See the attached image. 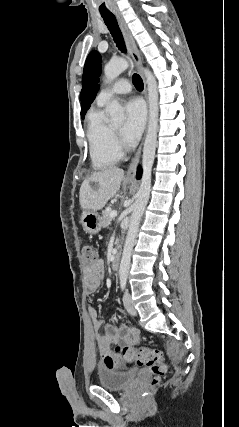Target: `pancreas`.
<instances>
[{"instance_id": "cf45deb5", "label": "pancreas", "mask_w": 239, "mask_h": 427, "mask_svg": "<svg viewBox=\"0 0 239 427\" xmlns=\"http://www.w3.org/2000/svg\"><path fill=\"white\" fill-rule=\"evenodd\" d=\"M110 211L109 210H105L103 212V216H102V224L104 227H107L110 225L112 218L110 217Z\"/></svg>"}]
</instances>
